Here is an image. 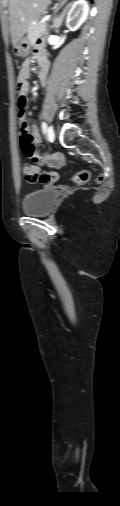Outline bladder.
<instances>
[{"label":"bladder","mask_w":120,"mask_h":506,"mask_svg":"<svg viewBox=\"0 0 120 506\" xmlns=\"http://www.w3.org/2000/svg\"><path fill=\"white\" fill-rule=\"evenodd\" d=\"M58 197V191L53 187H45L27 193L22 200V211L26 215H48Z\"/></svg>","instance_id":"obj_1"}]
</instances>
